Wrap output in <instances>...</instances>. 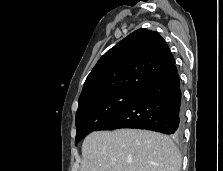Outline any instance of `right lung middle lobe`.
Here are the masks:
<instances>
[{"label":"right lung middle lobe","mask_w":223,"mask_h":171,"mask_svg":"<svg viewBox=\"0 0 223 171\" xmlns=\"http://www.w3.org/2000/svg\"><path fill=\"white\" fill-rule=\"evenodd\" d=\"M137 94V92L128 91L110 93L78 108L76 112L75 144L89 133L97 131L100 126L117 115Z\"/></svg>","instance_id":"1"}]
</instances>
